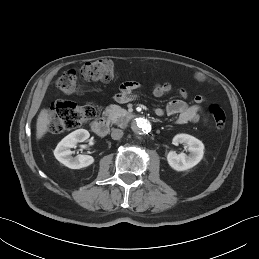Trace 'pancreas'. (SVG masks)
<instances>
[{"label": "pancreas", "instance_id": "obj_1", "mask_svg": "<svg viewBox=\"0 0 259 259\" xmlns=\"http://www.w3.org/2000/svg\"><path fill=\"white\" fill-rule=\"evenodd\" d=\"M103 115L106 116L112 123L125 125L128 121L130 113L117 105H111L105 109Z\"/></svg>", "mask_w": 259, "mask_h": 259}]
</instances>
